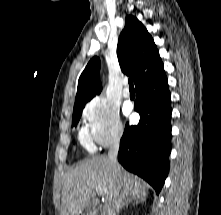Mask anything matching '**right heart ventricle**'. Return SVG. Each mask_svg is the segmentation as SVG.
Instances as JSON below:
<instances>
[{"instance_id":"e07e8e85","label":"right heart ventricle","mask_w":221,"mask_h":215,"mask_svg":"<svg viewBox=\"0 0 221 215\" xmlns=\"http://www.w3.org/2000/svg\"><path fill=\"white\" fill-rule=\"evenodd\" d=\"M79 138H80V142L82 143V145H83L84 147H86V148H88V149H91V148H92L91 140H90V138H89V136H88V134L86 133L85 130H82V131L80 132Z\"/></svg>"}]
</instances>
